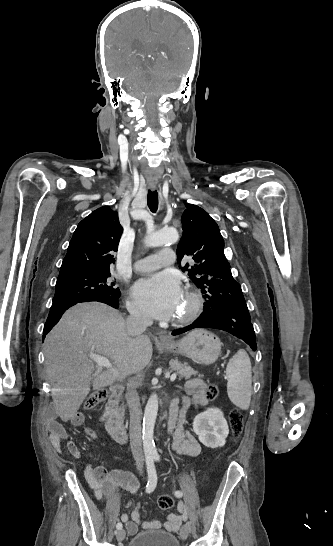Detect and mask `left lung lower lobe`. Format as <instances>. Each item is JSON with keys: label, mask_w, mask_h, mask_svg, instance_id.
Segmentation results:
<instances>
[{"label": "left lung lower lobe", "mask_w": 333, "mask_h": 546, "mask_svg": "<svg viewBox=\"0 0 333 546\" xmlns=\"http://www.w3.org/2000/svg\"><path fill=\"white\" fill-rule=\"evenodd\" d=\"M194 328L224 330L245 341L253 351L257 349L254 328L251 323L248 307L245 303L232 305L217 304V309L204 311L192 325L175 330L172 332V335H178Z\"/></svg>", "instance_id": "0a47b994"}]
</instances>
